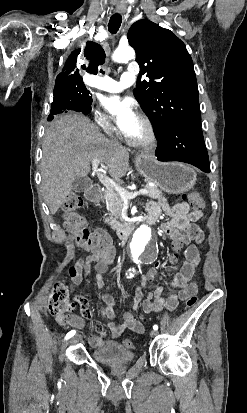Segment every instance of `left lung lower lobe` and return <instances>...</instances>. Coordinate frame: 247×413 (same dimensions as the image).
Wrapping results in <instances>:
<instances>
[{"instance_id": "0a47b994", "label": "left lung lower lobe", "mask_w": 247, "mask_h": 413, "mask_svg": "<svg viewBox=\"0 0 247 413\" xmlns=\"http://www.w3.org/2000/svg\"><path fill=\"white\" fill-rule=\"evenodd\" d=\"M159 161H180L209 173L210 164L202 128L186 122L174 123L156 135Z\"/></svg>"}]
</instances>
